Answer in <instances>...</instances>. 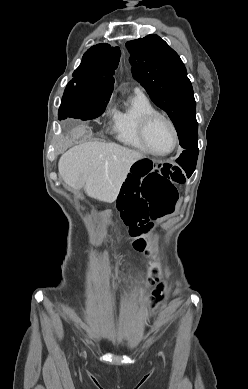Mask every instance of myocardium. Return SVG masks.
Here are the masks:
<instances>
[{
	"mask_svg": "<svg viewBox=\"0 0 248 389\" xmlns=\"http://www.w3.org/2000/svg\"><path fill=\"white\" fill-rule=\"evenodd\" d=\"M156 119H162L163 121H165L169 125V127L171 129L173 143H172V147L166 152L154 151L153 149H151V147L148 144L147 131H148V128L150 127V125L152 124V122ZM139 137H140V140H141L142 144L144 145L146 151L154 156H167V155L171 154L176 149L177 144H178V134H177V129L175 127V124L173 123V121L169 117H167L166 115H164L158 111L150 112L142 118V120L140 122V126H139Z\"/></svg>",
	"mask_w": 248,
	"mask_h": 389,
	"instance_id": "1",
	"label": "myocardium"
}]
</instances>
